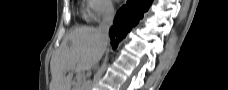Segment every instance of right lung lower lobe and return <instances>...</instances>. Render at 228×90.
<instances>
[{
    "label": "right lung lower lobe",
    "instance_id": "right-lung-lower-lobe-1",
    "mask_svg": "<svg viewBox=\"0 0 228 90\" xmlns=\"http://www.w3.org/2000/svg\"><path fill=\"white\" fill-rule=\"evenodd\" d=\"M152 0H127V5L122 6L115 16L113 26L110 28L109 36L114 48L143 17Z\"/></svg>",
    "mask_w": 228,
    "mask_h": 90
}]
</instances>
